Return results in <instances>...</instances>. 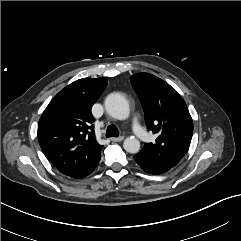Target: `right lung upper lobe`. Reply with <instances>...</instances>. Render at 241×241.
<instances>
[{"mask_svg":"<svg viewBox=\"0 0 241 241\" xmlns=\"http://www.w3.org/2000/svg\"><path fill=\"white\" fill-rule=\"evenodd\" d=\"M106 85V78H83L71 83L51 100L39 120L40 147L67 176L100 160L102 145L95 138L91 108Z\"/></svg>","mask_w":241,"mask_h":241,"instance_id":"right-lung-upper-lobe-1","label":"right lung upper lobe"}]
</instances>
